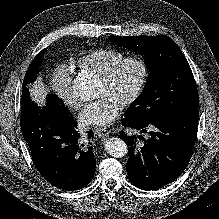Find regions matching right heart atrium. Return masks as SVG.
Masks as SVG:
<instances>
[{
    "label": "right heart atrium",
    "instance_id": "obj_1",
    "mask_svg": "<svg viewBox=\"0 0 219 219\" xmlns=\"http://www.w3.org/2000/svg\"><path fill=\"white\" fill-rule=\"evenodd\" d=\"M73 74L65 66L54 70L50 78V87L59 100L71 109H79L82 101L72 91Z\"/></svg>",
    "mask_w": 219,
    "mask_h": 219
}]
</instances>
